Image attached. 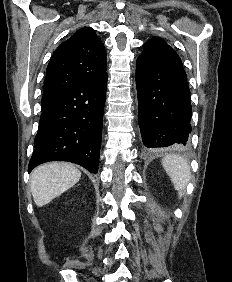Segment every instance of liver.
I'll list each match as a JSON object with an SVG mask.
<instances>
[{
	"label": "liver",
	"mask_w": 232,
	"mask_h": 282,
	"mask_svg": "<svg viewBox=\"0 0 232 282\" xmlns=\"http://www.w3.org/2000/svg\"><path fill=\"white\" fill-rule=\"evenodd\" d=\"M81 172L72 164L50 162L35 168L31 173L30 189L37 206L42 207L73 187Z\"/></svg>",
	"instance_id": "obj_1"
}]
</instances>
